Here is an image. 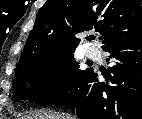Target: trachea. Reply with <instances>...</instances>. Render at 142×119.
I'll return each instance as SVG.
<instances>
[{"instance_id": "trachea-1", "label": "trachea", "mask_w": 142, "mask_h": 119, "mask_svg": "<svg viewBox=\"0 0 142 119\" xmlns=\"http://www.w3.org/2000/svg\"><path fill=\"white\" fill-rule=\"evenodd\" d=\"M94 39V37H91V40H93Z\"/></svg>"}]
</instances>
